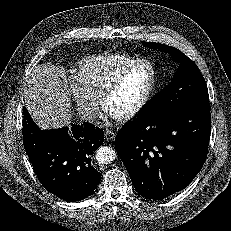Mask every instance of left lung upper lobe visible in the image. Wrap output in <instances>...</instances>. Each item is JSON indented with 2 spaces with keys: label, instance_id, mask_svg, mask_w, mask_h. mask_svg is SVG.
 <instances>
[{
  "label": "left lung upper lobe",
  "instance_id": "left-lung-upper-lobe-1",
  "mask_svg": "<svg viewBox=\"0 0 231 231\" xmlns=\"http://www.w3.org/2000/svg\"><path fill=\"white\" fill-rule=\"evenodd\" d=\"M154 50L167 52L179 63L172 81L139 113L137 118L155 119L192 104L209 103L208 89L197 65L180 50L154 42H142Z\"/></svg>",
  "mask_w": 231,
  "mask_h": 231
}]
</instances>
